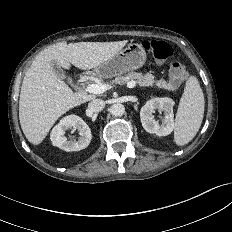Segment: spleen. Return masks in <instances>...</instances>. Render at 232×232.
Instances as JSON below:
<instances>
[{"label": "spleen", "instance_id": "1", "mask_svg": "<svg viewBox=\"0 0 232 232\" xmlns=\"http://www.w3.org/2000/svg\"><path fill=\"white\" fill-rule=\"evenodd\" d=\"M204 95L195 76L186 81L175 118L174 140L178 146L189 143L197 134L204 114Z\"/></svg>", "mask_w": 232, "mask_h": 232}]
</instances>
